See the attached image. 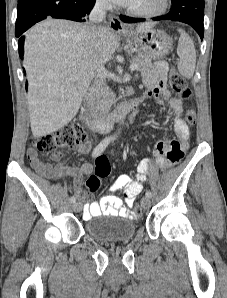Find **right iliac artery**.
<instances>
[{
  "label": "right iliac artery",
  "instance_id": "right-iliac-artery-1",
  "mask_svg": "<svg viewBox=\"0 0 227 298\" xmlns=\"http://www.w3.org/2000/svg\"><path fill=\"white\" fill-rule=\"evenodd\" d=\"M111 140H112L111 138H105L102 142H100L93 150L92 157L99 156L106 149V147L108 146ZM75 201H76V198L72 196L70 198V202L75 203Z\"/></svg>",
  "mask_w": 227,
  "mask_h": 298
}]
</instances>
